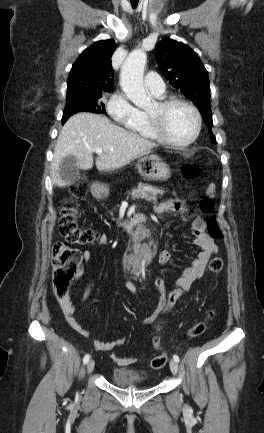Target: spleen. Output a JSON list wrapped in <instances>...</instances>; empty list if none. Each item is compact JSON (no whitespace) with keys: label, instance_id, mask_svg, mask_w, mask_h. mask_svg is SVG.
Here are the masks:
<instances>
[{"label":"spleen","instance_id":"spleen-1","mask_svg":"<svg viewBox=\"0 0 264 433\" xmlns=\"http://www.w3.org/2000/svg\"><path fill=\"white\" fill-rule=\"evenodd\" d=\"M215 189V185L212 183L210 184L209 188H208V193H213Z\"/></svg>","mask_w":264,"mask_h":433}]
</instances>
